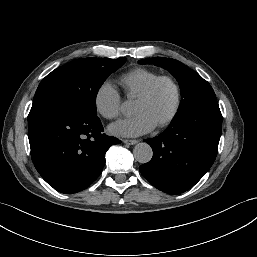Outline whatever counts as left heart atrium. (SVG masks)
Returning <instances> with one entry per match:
<instances>
[{"mask_svg":"<svg viewBox=\"0 0 257 257\" xmlns=\"http://www.w3.org/2000/svg\"><path fill=\"white\" fill-rule=\"evenodd\" d=\"M156 124L143 113H136L130 118L120 120L109 127V130L119 136L136 137L152 131Z\"/></svg>","mask_w":257,"mask_h":257,"instance_id":"left-heart-atrium-1","label":"left heart atrium"}]
</instances>
